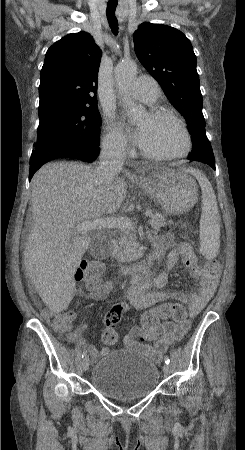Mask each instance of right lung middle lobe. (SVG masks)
Listing matches in <instances>:
<instances>
[{"label":"right lung middle lobe","instance_id":"dd1d6c3e","mask_svg":"<svg viewBox=\"0 0 245 450\" xmlns=\"http://www.w3.org/2000/svg\"><path fill=\"white\" fill-rule=\"evenodd\" d=\"M37 144L31 157L42 153L94 149L101 119L97 105L56 103L40 108Z\"/></svg>","mask_w":245,"mask_h":450}]
</instances>
